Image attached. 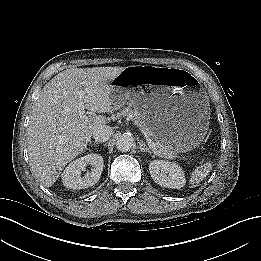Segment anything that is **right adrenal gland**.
<instances>
[{"mask_svg":"<svg viewBox=\"0 0 261 261\" xmlns=\"http://www.w3.org/2000/svg\"><path fill=\"white\" fill-rule=\"evenodd\" d=\"M95 144H99L98 142H94Z\"/></svg>","mask_w":261,"mask_h":261,"instance_id":"1","label":"right adrenal gland"}]
</instances>
